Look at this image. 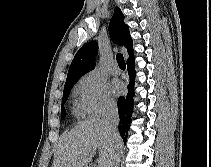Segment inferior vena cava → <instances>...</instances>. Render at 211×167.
Listing matches in <instances>:
<instances>
[{
	"label": "inferior vena cava",
	"instance_id": "obj_1",
	"mask_svg": "<svg viewBox=\"0 0 211 167\" xmlns=\"http://www.w3.org/2000/svg\"><path fill=\"white\" fill-rule=\"evenodd\" d=\"M104 124L111 134L113 141L116 143L119 140L118 134V124H119V115L117 106L115 104H109L106 108ZM120 161V149L117 148V152L115 154L114 161L112 163V167H119Z\"/></svg>",
	"mask_w": 211,
	"mask_h": 167
}]
</instances>
